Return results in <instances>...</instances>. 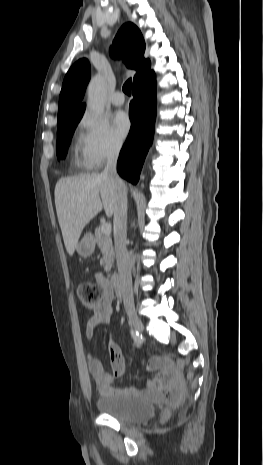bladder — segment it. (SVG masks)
<instances>
[{
	"instance_id": "obj_1",
	"label": "bladder",
	"mask_w": 263,
	"mask_h": 465,
	"mask_svg": "<svg viewBox=\"0 0 263 465\" xmlns=\"http://www.w3.org/2000/svg\"><path fill=\"white\" fill-rule=\"evenodd\" d=\"M96 405L101 413L127 423L144 422L155 414L152 403L132 393L105 395Z\"/></svg>"
}]
</instances>
